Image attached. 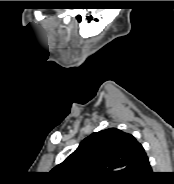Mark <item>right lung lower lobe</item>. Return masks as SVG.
<instances>
[{"instance_id":"98d812e1","label":"right lung lower lobe","mask_w":174,"mask_h":184,"mask_svg":"<svg viewBox=\"0 0 174 184\" xmlns=\"http://www.w3.org/2000/svg\"><path fill=\"white\" fill-rule=\"evenodd\" d=\"M152 174L149 161L145 162L141 169L129 180L121 182V184H146Z\"/></svg>"}]
</instances>
